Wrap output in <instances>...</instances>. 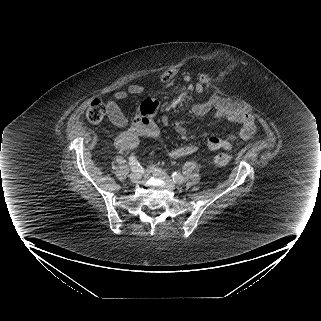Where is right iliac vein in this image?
<instances>
[{
    "label": "right iliac vein",
    "mask_w": 321,
    "mask_h": 321,
    "mask_svg": "<svg viewBox=\"0 0 321 321\" xmlns=\"http://www.w3.org/2000/svg\"><path fill=\"white\" fill-rule=\"evenodd\" d=\"M141 178V174L139 172H134L130 175V180L134 183L138 182Z\"/></svg>",
    "instance_id": "obj_1"
}]
</instances>
